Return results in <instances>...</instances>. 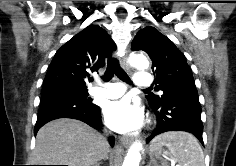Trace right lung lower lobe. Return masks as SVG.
Listing matches in <instances>:
<instances>
[{
  "label": "right lung lower lobe",
  "mask_w": 236,
  "mask_h": 166,
  "mask_svg": "<svg viewBox=\"0 0 236 166\" xmlns=\"http://www.w3.org/2000/svg\"><path fill=\"white\" fill-rule=\"evenodd\" d=\"M67 86L68 85L65 84H51L43 86L42 91L49 94H57L62 91V88ZM58 118L77 119L96 129H99L102 126L100 109L97 105H83L79 103L55 100L40 104L34 134L36 135L38 130L44 124ZM110 144L112 146L114 144V139L112 137L110 138Z\"/></svg>",
  "instance_id": "right-lung-lower-lobe-1"
}]
</instances>
